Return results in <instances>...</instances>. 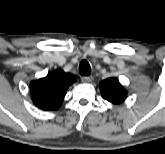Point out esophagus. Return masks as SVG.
Segmentation results:
<instances>
[{
    "mask_svg": "<svg viewBox=\"0 0 165 154\" xmlns=\"http://www.w3.org/2000/svg\"><path fill=\"white\" fill-rule=\"evenodd\" d=\"M81 79L83 82L89 83L93 80V77L92 76H82Z\"/></svg>",
    "mask_w": 165,
    "mask_h": 154,
    "instance_id": "esophagus-1",
    "label": "esophagus"
}]
</instances>
